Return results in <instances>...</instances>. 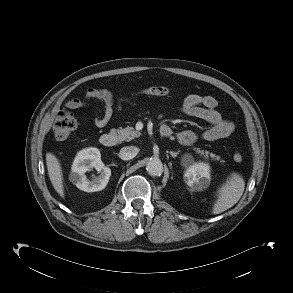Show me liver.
I'll return each mask as SVG.
<instances>
[{"label":"liver","instance_id":"1","mask_svg":"<svg viewBox=\"0 0 293 293\" xmlns=\"http://www.w3.org/2000/svg\"><path fill=\"white\" fill-rule=\"evenodd\" d=\"M46 165L49 179L55 191L64 198L63 174L59 159L52 153H46Z\"/></svg>","mask_w":293,"mask_h":293}]
</instances>
